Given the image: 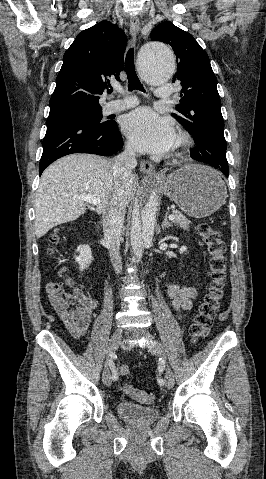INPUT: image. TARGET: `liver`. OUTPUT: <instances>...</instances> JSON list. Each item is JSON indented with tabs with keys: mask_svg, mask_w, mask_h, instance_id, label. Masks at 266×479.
<instances>
[{
	"mask_svg": "<svg viewBox=\"0 0 266 479\" xmlns=\"http://www.w3.org/2000/svg\"><path fill=\"white\" fill-rule=\"evenodd\" d=\"M112 161L93 154H73L51 164L42 174L35 197L34 228L37 238L53 227L71 222L86 212L80 195L100 198L96 211L103 212L114 191ZM138 178L131 175L122 188L128 205L135 194Z\"/></svg>",
	"mask_w": 266,
	"mask_h": 479,
	"instance_id": "obj_1",
	"label": "liver"
}]
</instances>
